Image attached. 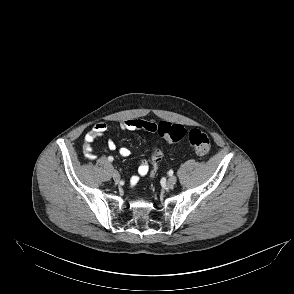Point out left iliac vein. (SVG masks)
Returning a JSON list of instances; mask_svg holds the SVG:
<instances>
[{
	"label": "left iliac vein",
	"instance_id": "1",
	"mask_svg": "<svg viewBox=\"0 0 294 294\" xmlns=\"http://www.w3.org/2000/svg\"><path fill=\"white\" fill-rule=\"evenodd\" d=\"M177 182V178L175 176H172L171 178H168L167 180V185L168 186H173Z\"/></svg>",
	"mask_w": 294,
	"mask_h": 294
}]
</instances>
